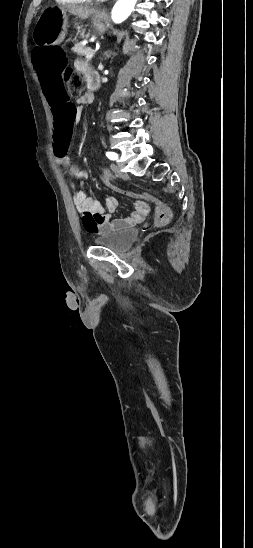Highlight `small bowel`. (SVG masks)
<instances>
[{
    "mask_svg": "<svg viewBox=\"0 0 253 548\" xmlns=\"http://www.w3.org/2000/svg\"><path fill=\"white\" fill-rule=\"evenodd\" d=\"M77 69H79L87 78L91 75H96L89 65L85 62L78 61ZM66 71V68H65ZM65 71H63V76ZM41 81V77H40ZM43 88V87H42ZM47 97V96H45ZM94 100L92 93L87 92L80 96L75 105V110L78 111L85 106L90 105ZM51 106V105H50ZM54 142V140H53ZM70 142V139L68 140ZM68 152V150H66ZM55 157V156H54ZM59 165H63L68 169L71 176L78 180H85L88 173L81 170L77 165L70 161L69 156H64L62 159H57ZM73 201L76 208L83 213V224L89 233L103 234L111 231L122 230L131 227L141 222L148 214V206L143 201H136L133 210L126 217L113 218L112 214L118 207V202L113 196H108L104 203H101L94 197L88 196L83 190H78L73 193Z\"/></svg>",
    "mask_w": 253,
    "mask_h": 548,
    "instance_id": "obj_1",
    "label": "small bowel"
}]
</instances>
